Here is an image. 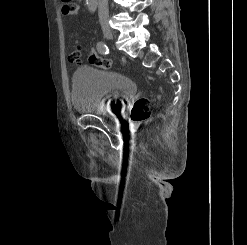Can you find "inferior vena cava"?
Returning <instances> with one entry per match:
<instances>
[{
    "instance_id": "1",
    "label": "inferior vena cava",
    "mask_w": 247,
    "mask_h": 245,
    "mask_svg": "<svg viewBox=\"0 0 247 245\" xmlns=\"http://www.w3.org/2000/svg\"><path fill=\"white\" fill-rule=\"evenodd\" d=\"M99 21L102 27H108L109 8L108 0H98Z\"/></svg>"
}]
</instances>
